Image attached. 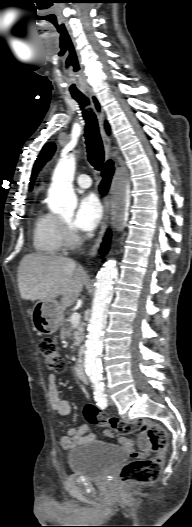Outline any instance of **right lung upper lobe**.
I'll use <instances>...</instances> for the list:
<instances>
[{
	"label": "right lung upper lobe",
	"instance_id": "obj_1",
	"mask_svg": "<svg viewBox=\"0 0 192 527\" xmlns=\"http://www.w3.org/2000/svg\"><path fill=\"white\" fill-rule=\"evenodd\" d=\"M106 129L107 131H109V128L108 126H106ZM55 151V145L54 143H48L46 144L40 155L38 156L37 160H36V163L34 165V168H33V173H32V178H31V182H30V186L32 187L33 185V182H34V179L38 173V171L40 170V168L43 166V164L52 156V154L54 153Z\"/></svg>",
	"mask_w": 192,
	"mask_h": 527
}]
</instances>
